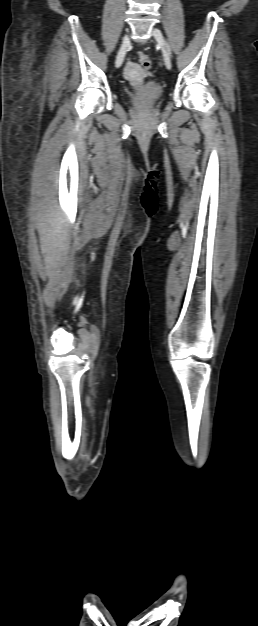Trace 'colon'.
Segmentation results:
<instances>
[{
    "label": "colon",
    "instance_id": "colon-1",
    "mask_svg": "<svg viewBox=\"0 0 258 626\" xmlns=\"http://www.w3.org/2000/svg\"><path fill=\"white\" fill-rule=\"evenodd\" d=\"M138 60L145 68H149L150 65H151L150 58L144 52H139L138 53Z\"/></svg>",
    "mask_w": 258,
    "mask_h": 626
}]
</instances>
